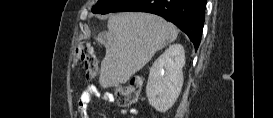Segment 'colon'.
Listing matches in <instances>:
<instances>
[{"instance_id": "obj_1", "label": "colon", "mask_w": 273, "mask_h": 118, "mask_svg": "<svg viewBox=\"0 0 273 118\" xmlns=\"http://www.w3.org/2000/svg\"><path fill=\"white\" fill-rule=\"evenodd\" d=\"M76 59H81L84 63L86 77L93 80L98 75V61L93 51L92 45L87 41H82L76 48ZM141 79H136L129 84L119 85L116 88L115 96L119 105L129 107L134 104L140 94Z\"/></svg>"}]
</instances>
